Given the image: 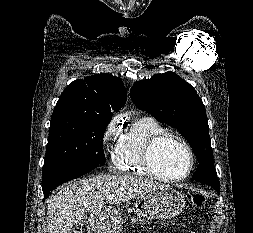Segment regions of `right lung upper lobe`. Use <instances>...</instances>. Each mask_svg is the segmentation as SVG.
Masks as SVG:
<instances>
[{
    "label": "right lung upper lobe",
    "mask_w": 253,
    "mask_h": 233,
    "mask_svg": "<svg viewBox=\"0 0 253 233\" xmlns=\"http://www.w3.org/2000/svg\"><path fill=\"white\" fill-rule=\"evenodd\" d=\"M127 99L120 78L108 73L96 74L73 81L61 94L54 109L77 110L113 115Z\"/></svg>",
    "instance_id": "right-lung-upper-lobe-1"
}]
</instances>
